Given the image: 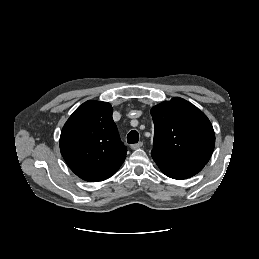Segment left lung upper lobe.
Here are the masks:
<instances>
[{
    "label": "left lung upper lobe",
    "instance_id": "5c2ea615",
    "mask_svg": "<svg viewBox=\"0 0 259 259\" xmlns=\"http://www.w3.org/2000/svg\"><path fill=\"white\" fill-rule=\"evenodd\" d=\"M151 115L155 126L152 156L207 164L214 149L215 134L202 111L175 97L154 106Z\"/></svg>",
    "mask_w": 259,
    "mask_h": 259
}]
</instances>
